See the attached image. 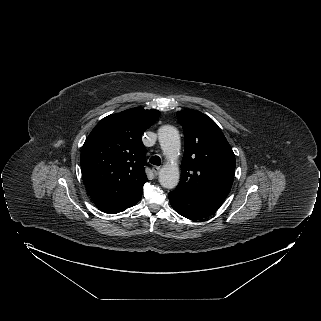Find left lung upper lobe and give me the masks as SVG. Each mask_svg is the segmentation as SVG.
<instances>
[{"instance_id": "left-lung-upper-lobe-1", "label": "left lung upper lobe", "mask_w": 321, "mask_h": 321, "mask_svg": "<svg viewBox=\"0 0 321 321\" xmlns=\"http://www.w3.org/2000/svg\"><path fill=\"white\" fill-rule=\"evenodd\" d=\"M177 117L184 130L185 151L181 180L176 190L224 201L235 172V155L218 125L197 110H182Z\"/></svg>"}]
</instances>
